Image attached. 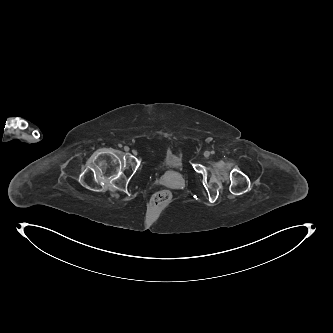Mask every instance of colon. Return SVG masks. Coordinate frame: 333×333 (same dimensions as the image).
<instances>
[{
	"instance_id": "colon-1",
	"label": "colon",
	"mask_w": 333,
	"mask_h": 333,
	"mask_svg": "<svg viewBox=\"0 0 333 333\" xmlns=\"http://www.w3.org/2000/svg\"><path fill=\"white\" fill-rule=\"evenodd\" d=\"M172 202V193L167 190L163 189L156 192L151 198V206L158 210H163L169 206Z\"/></svg>"
}]
</instances>
